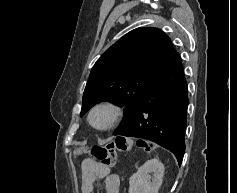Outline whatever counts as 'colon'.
Here are the masks:
<instances>
[{
    "label": "colon",
    "instance_id": "obj_1",
    "mask_svg": "<svg viewBox=\"0 0 237 193\" xmlns=\"http://www.w3.org/2000/svg\"><path fill=\"white\" fill-rule=\"evenodd\" d=\"M136 145L144 150L149 147L143 141L138 140ZM133 141L127 137H116V139L105 146H95L92 149V156L103 167L112 168L116 163L117 152H127L131 150Z\"/></svg>",
    "mask_w": 237,
    "mask_h": 193
}]
</instances>
